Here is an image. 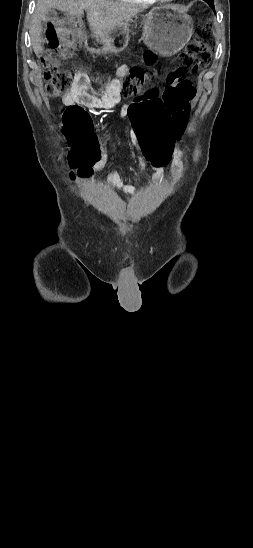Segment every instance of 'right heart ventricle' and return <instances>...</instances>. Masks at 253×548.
Instances as JSON below:
<instances>
[{"label":"right heart ventricle","mask_w":253,"mask_h":548,"mask_svg":"<svg viewBox=\"0 0 253 548\" xmlns=\"http://www.w3.org/2000/svg\"><path fill=\"white\" fill-rule=\"evenodd\" d=\"M124 3L128 4H135V5H152L156 2V0H118Z\"/></svg>","instance_id":"obj_1"}]
</instances>
